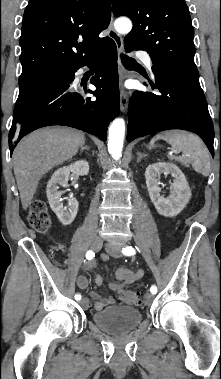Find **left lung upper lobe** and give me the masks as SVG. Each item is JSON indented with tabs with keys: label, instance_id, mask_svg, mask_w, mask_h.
<instances>
[{
	"label": "left lung upper lobe",
	"instance_id": "1",
	"mask_svg": "<svg viewBox=\"0 0 221 379\" xmlns=\"http://www.w3.org/2000/svg\"><path fill=\"white\" fill-rule=\"evenodd\" d=\"M113 14L133 21L124 42L150 52L153 65L198 76L194 29L184 0H112Z\"/></svg>",
	"mask_w": 221,
	"mask_h": 379
}]
</instances>
